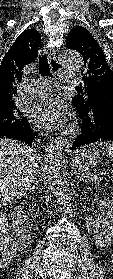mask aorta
I'll return each instance as SVG.
<instances>
[{
  "mask_svg": "<svg viewBox=\"0 0 113 279\" xmlns=\"http://www.w3.org/2000/svg\"><path fill=\"white\" fill-rule=\"evenodd\" d=\"M63 64L71 70H79L83 65V58L79 52L63 48L59 51ZM70 131L56 138L46 149L43 169L46 173L52 193L62 210L71 207L69 182L61 165V152L69 143Z\"/></svg>",
  "mask_w": 113,
  "mask_h": 279,
  "instance_id": "aorta-1",
  "label": "aorta"
}]
</instances>
